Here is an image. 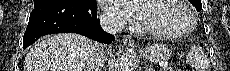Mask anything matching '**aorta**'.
Segmentation results:
<instances>
[{
  "label": "aorta",
  "mask_w": 230,
  "mask_h": 71,
  "mask_svg": "<svg viewBox=\"0 0 230 71\" xmlns=\"http://www.w3.org/2000/svg\"><path fill=\"white\" fill-rule=\"evenodd\" d=\"M138 66V57L134 48H127L122 54L118 71H135Z\"/></svg>",
  "instance_id": "aorta-1"
}]
</instances>
